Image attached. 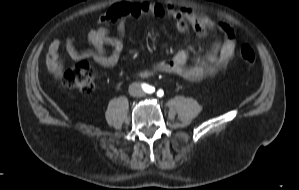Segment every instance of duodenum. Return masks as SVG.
<instances>
[{
    "mask_svg": "<svg viewBox=\"0 0 299 190\" xmlns=\"http://www.w3.org/2000/svg\"><path fill=\"white\" fill-rule=\"evenodd\" d=\"M150 74H151L150 72L145 71V72H143L141 75H142L143 77H147V76H149Z\"/></svg>",
    "mask_w": 299,
    "mask_h": 190,
    "instance_id": "410a0bca",
    "label": "duodenum"
}]
</instances>
